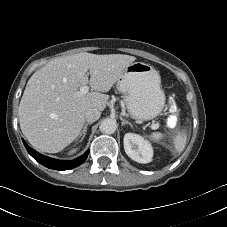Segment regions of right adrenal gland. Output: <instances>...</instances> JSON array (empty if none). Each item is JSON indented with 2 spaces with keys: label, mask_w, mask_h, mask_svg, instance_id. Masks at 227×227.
I'll list each match as a JSON object with an SVG mask.
<instances>
[{
  "label": "right adrenal gland",
  "mask_w": 227,
  "mask_h": 227,
  "mask_svg": "<svg viewBox=\"0 0 227 227\" xmlns=\"http://www.w3.org/2000/svg\"><path fill=\"white\" fill-rule=\"evenodd\" d=\"M91 124H92V122H87L85 124V126L83 127V130L81 131V133L79 135V138H81L79 142H81L84 139L86 132H87V129H88V125H91Z\"/></svg>",
  "instance_id": "right-adrenal-gland-1"
}]
</instances>
